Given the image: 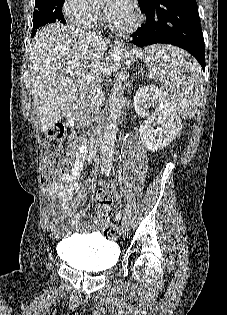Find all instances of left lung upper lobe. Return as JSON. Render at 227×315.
Returning a JSON list of instances; mask_svg holds the SVG:
<instances>
[{"mask_svg":"<svg viewBox=\"0 0 227 315\" xmlns=\"http://www.w3.org/2000/svg\"><path fill=\"white\" fill-rule=\"evenodd\" d=\"M155 0H138L139 6L141 9L147 8L149 5L152 4Z\"/></svg>","mask_w":227,"mask_h":315,"instance_id":"obj_1","label":"left lung upper lobe"}]
</instances>
